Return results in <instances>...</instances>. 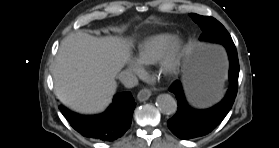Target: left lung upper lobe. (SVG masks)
Wrapping results in <instances>:
<instances>
[{"mask_svg":"<svg viewBox=\"0 0 279 148\" xmlns=\"http://www.w3.org/2000/svg\"><path fill=\"white\" fill-rule=\"evenodd\" d=\"M190 16L202 30V35L199 38L200 40L215 43L232 40L225 27L213 17L200 16L193 13L190 14Z\"/></svg>","mask_w":279,"mask_h":148,"instance_id":"left-lung-upper-lobe-1","label":"left lung upper lobe"}]
</instances>
